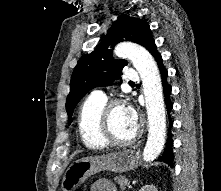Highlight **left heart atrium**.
Returning <instances> with one entry per match:
<instances>
[{
	"label": "left heart atrium",
	"instance_id": "left-heart-atrium-1",
	"mask_svg": "<svg viewBox=\"0 0 221 191\" xmlns=\"http://www.w3.org/2000/svg\"><path fill=\"white\" fill-rule=\"evenodd\" d=\"M124 113H125L128 123L132 127L136 128L138 124V117H137L135 110L131 106H126L124 107Z\"/></svg>",
	"mask_w": 221,
	"mask_h": 191
}]
</instances>
